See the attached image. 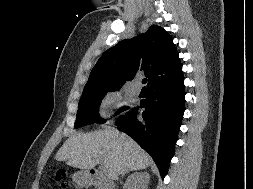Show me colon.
<instances>
[{"label": "colon", "instance_id": "colon-1", "mask_svg": "<svg viewBox=\"0 0 253 189\" xmlns=\"http://www.w3.org/2000/svg\"><path fill=\"white\" fill-rule=\"evenodd\" d=\"M64 179H65V171L61 170L58 172V174L56 176V180H57L58 184L61 185L63 188L66 187Z\"/></svg>", "mask_w": 253, "mask_h": 189}]
</instances>
